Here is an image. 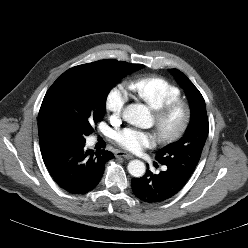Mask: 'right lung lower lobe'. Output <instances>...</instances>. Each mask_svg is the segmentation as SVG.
Listing matches in <instances>:
<instances>
[{"label": "right lung lower lobe", "instance_id": "right-lung-lower-lobe-1", "mask_svg": "<svg viewBox=\"0 0 248 248\" xmlns=\"http://www.w3.org/2000/svg\"><path fill=\"white\" fill-rule=\"evenodd\" d=\"M84 146L85 143L64 144L43 156L55 182L72 194L94 189L103 176L105 163L114 158L110 151L95 153L85 150Z\"/></svg>", "mask_w": 248, "mask_h": 248}]
</instances>
